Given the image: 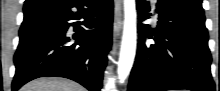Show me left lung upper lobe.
<instances>
[{"label":"left lung upper lobe","instance_id":"obj_1","mask_svg":"<svg viewBox=\"0 0 220 91\" xmlns=\"http://www.w3.org/2000/svg\"><path fill=\"white\" fill-rule=\"evenodd\" d=\"M169 2L176 3L178 5L187 7L189 9L204 13L202 8V0H166Z\"/></svg>","mask_w":220,"mask_h":91}]
</instances>
